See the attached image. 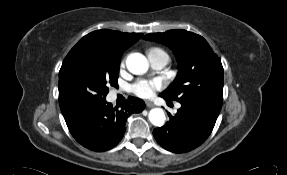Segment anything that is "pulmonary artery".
Instances as JSON below:
<instances>
[{"label": "pulmonary artery", "instance_id": "e3ab8cb5", "mask_svg": "<svg viewBox=\"0 0 287 175\" xmlns=\"http://www.w3.org/2000/svg\"><path fill=\"white\" fill-rule=\"evenodd\" d=\"M148 57L151 62V65L156 69H161L165 67L169 62L168 55L162 50L149 52ZM177 107H180V105L177 104Z\"/></svg>", "mask_w": 287, "mask_h": 175}]
</instances>
